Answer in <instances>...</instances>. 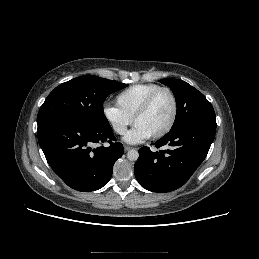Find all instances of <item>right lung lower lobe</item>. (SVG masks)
Instances as JSON below:
<instances>
[{
	"label": "right lung lower lobe",
	"instance_id": "right-lung-lower-lobe-1",
	"mask_svg": "<svg viewBox=\"0 0 259 259\" xmlns=\"http://www.w3.org/2000/svg\"><path fill=\"white\" fill-rule=\"evenodd\" d=\"M38 140L53 171L72 189L88 192L102 188L123 155L111 126L74 118H57L38 126ZM108 142V147L94 144Z\"/></svg>",
	"mask_w": 259,
	"mask_h": 259
}]
</instances>
